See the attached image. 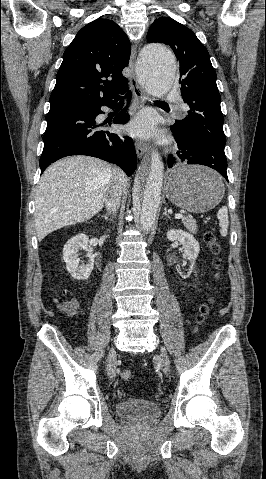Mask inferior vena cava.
Masks as SVG:
<instances>
[{
	"label": "inferior vena cava",
	"mask_w": 266,
	"mask_h": 479,
	"mask_svg": "<svg viewBox=\"0 0 266 479\" xmlns=\"http://www.w3.org/2000/svg\"><path fill=\"white\" fill-rule=\"evenodd\" d=\"M125 183L126 175L124 172L119 168H114L105 200V206L108 211L115 213L118 210Z\"/></svg>",
	"instance_id": "602c4592"
}]
</instances>
